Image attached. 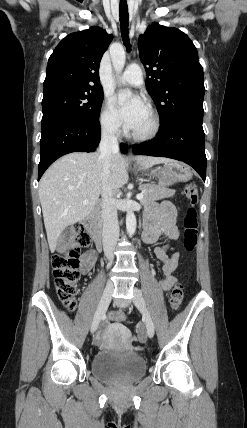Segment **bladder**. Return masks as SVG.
<instances>
[{
    "label": "bladder",
    "instance_id": "bladder-1",
    "mask_svg": "<svg viewBox=\"0 0 247 428\" xmlns=\"http://www.w3.org/2000/svg\"><path fill=\"white\" fill-rule=\"evenodd\" d=\"M91 370L94 376L104 381L124 379L136 381L146 370L142 356L131 349H104L92 359Z\"/></svg>",
    "mask_w": 247,
    "mask_h": 428
}]
</instances>
